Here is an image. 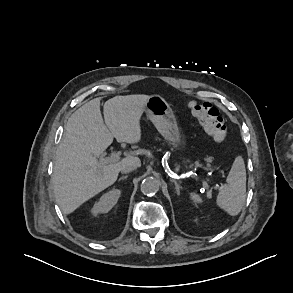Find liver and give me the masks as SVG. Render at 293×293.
Returning a JSON list of instances; mask_svg holds the SVG:
<instances>
[{
    "label": "liver",
    "mask_w": 293,
    "mask_h": 293,
    "mask_svg": "<svg viewBox=\"0 0 293 293\" xmlns=\"http://www.w3.org/2000/svg\"><path fill=\"white\" fill-rule=\"evenodd\" d=\"M149 97L126 95L107 100L103 106L105 123L99 98L85 103L68 119L52 175L56 202L64 214L74 212L114 184L123 164L134 162L141 166L140 159L131 155L104 165L98 158L114 137L129 144L141 140L140 119Z\"/></svg>",
    "instance_id": "liver-1"
}]
</instances>
